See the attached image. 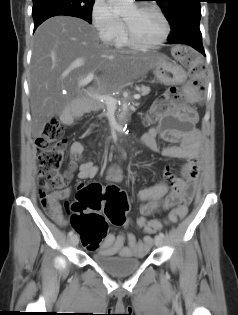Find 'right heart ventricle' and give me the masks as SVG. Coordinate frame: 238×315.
<instances>
[{"label":"right heart ventricle","mask_w":238,"mask_h":315,"mask_svg":"<svg viewBox=\"0 0 238 315\" xmlns=\"http://www.w3.org/2000/svg\"><path fill=\"white\" fill-rule=\"evenodd\" d=\"M111 44L115 46L117 49L121 50L131 47L126 39L124 25L118 32V34L115 36V38L112 40Z\"/></svg>","instance_id":"1"}]
</instances>
